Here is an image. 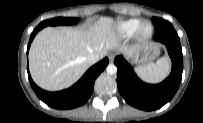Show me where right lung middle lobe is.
I'll return each mask as SVG.
<instances>
[{"label": "right lung middle lobe", "mask_w": 203, "mask_h": 123, "mask_svg": "<svg viewBox=\"0 0 203 123\" xmlns=\"http://www.w3.org/2000/svg\"><path fill=\"white\" fill-rule=\"evenodd\" d=\"M78 22L77 18H64L57 17L41 22L38 26L44 28L46 26H56V25H73Z\"/></svg>", "instance_id": "right-lung-middle-lobe-1"}]
</instances>
